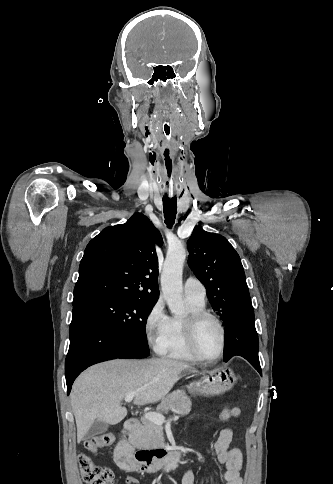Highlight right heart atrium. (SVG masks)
I'll return each mask as SVG.
<instances>
[{"label":"right heart atrium","instance_id":"1","mask_svg":"<svg viewBox=\"0 0 333 484\" xmlns=\"http://www.w3.org/2000/svg\"><path fill=\"white\" fill-rule=\"evenodd\" d=\"M169 317L164 303L158 299L148 311L144 320V332L148 344L157 352L162 348Z\"/></svg>","mask_w":333,"mask_h":484}]
</instances>
